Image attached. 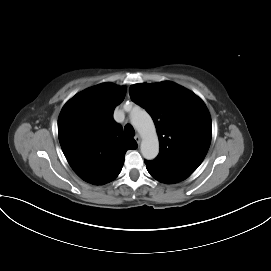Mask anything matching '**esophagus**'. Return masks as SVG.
<instances>
[{
  "label": "esophagus",
  "instance_id": "esophagus-1",
  "mask_svg": "<svg viewBox=\"0 0 271 271\" xmlns=\"http://www.w3.org/2000/svg\"><path fill=\"white\" fill-rule=\"evenodd\" d=\"M135 141L137 142V144H140L141 142V137L140 135L136 134L135 137H134Z\"/></svg>",
  "mask_w": 271,
  "mask_h": 271
}]
</instances>
